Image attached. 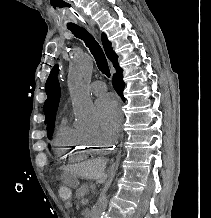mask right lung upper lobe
<instances>
[{"mask_svg":"<svg viewBox=\"0 0 211 218\" xmlns=\"http://www.w3.org/2000/svg\"><path fill=\"white\" fill-rule=\"evenodd\" d=\"M102 43L107 57L113 62V65L116 64L118 57L114 53V51L111 50V43L108 41L105 34H102ZM59 100H60V86L58 80H55L52 97L50 99V115L47 125L48 136L53 134L56 111L58 108Z\"/></svg>","mask_w":211,"mask_h":218,"instance_id":"right-lung-upper-lobe-1","label":"right lung upper lobe"}]
</instances>
